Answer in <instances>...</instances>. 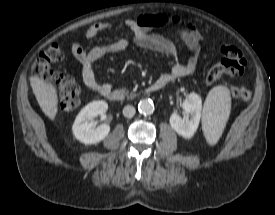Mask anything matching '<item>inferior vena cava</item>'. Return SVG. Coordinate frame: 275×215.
<instances>
[{
	"label": "inferior vena cava",
	"instance_id": "obj_1",
	"mask_svg": "<svg viewBox=\"0 0 275 215\" xmlns=\"http://www.w3.org/2000/svg\"><path fill=\"white\" fill-rule=\"evenodd\" d=\"M135 113H136V110H135V108H134L133 106H131V105H127V106H125V107L123 108V115H124L125 117L131 118V117H133V116L135 115Z\"/></svg>",
	"mask_w": 275,
	"mask_h": 215
}]
</instances>
